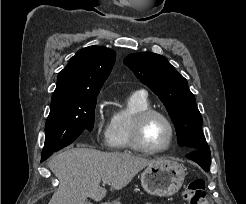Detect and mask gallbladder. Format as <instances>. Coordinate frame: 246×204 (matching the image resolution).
I'll list each match as a JSON object with an SVG mask.
<instances>
[{
	"label": "gallbladder",
	"mask_w": 246,
	"mask_h": 204,
	"mask_svg": "<svg viewBox=\"0 0 246 204\" xmlns=\"http://www.w3.org/2000/svg\"><path fill=\"white\" fill-rule=\"evenodd\" d=\"M85 204H92V203H91V202H89V201H86V202H85Z\"/></svg>",
	"instance_id": "gallbladder-1"
}]
</instances>
